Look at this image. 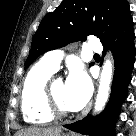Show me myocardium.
<instances>
[{"instance_id":"1","label":"myocardium","mask_w":136,"mask_h":136,"mask_svg":"<svg viewBox=\"0 0 136 136\" xmlns=\"http://www.w3.org/2000/svg\"><path fill=\"white\" fill-rule=\"evenodd\" d=\"M55 81L56 80L52 78L47 82L45 86L44 95H45L46 107L49 113L53 117H58V118L67 117L71 114V112L61 108L54 96L53 84Z\"/></svg>"}]
</instances>
